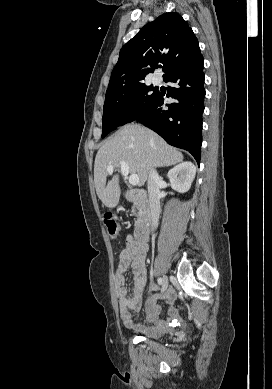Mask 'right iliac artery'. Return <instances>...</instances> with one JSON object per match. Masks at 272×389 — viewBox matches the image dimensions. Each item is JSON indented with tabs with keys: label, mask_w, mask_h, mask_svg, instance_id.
Segmentation results:
<instances>
[{
	"label": "right iliac artery",
	"mask_w": 272,
	"mask_h": 389,
	"mask_svg": "<svg viewBox=\"0 0 272 389\" xmlns=\"http://www.w3.org/2000/svg\"><path fill=\"white\" fill-rule=\"evenodd\" d=\"M157 281H158V284H159V285H162V282H163V279H162V278H158Z\"/></svg>",
	"instance_id": "right-iliac-artery-1"
}]
</instances>
